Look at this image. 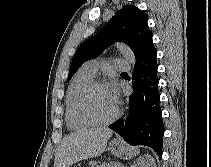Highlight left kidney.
Here are the masks:
<instances>
[{
    "label": "left kidney",
    "mask_w": 211,
    "mask_h": 167,
    "mask_svg": "<svg viewBox=\"0 0 211 167\" xmlns=\"http://www.w3.org/2000/svg\"><path fill=\"white\" fill-rule=\"evenodd\" d=\"M131 167H156V163L153 157L145 155L140 157Z\"/></svg>",
    "instance_id": "5707ae66"
}]
</instances>
